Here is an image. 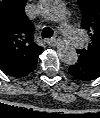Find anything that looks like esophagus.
<instances>
[{
    "mask_svg": "<svg viewBox=\"0 0 100 118\" xmlns=\"http://www.w3.org/2000/svg\"><path fill=\"white\" fill-rule=\"evenodd\" d=\"M60 41V37L58 35H54L51 39L46 40V43L50 46H56Z\"/></svg>",
    "mask_w": 100,
    "mask_h": 118,
    "instance_id": "34e87169",
    "label": "esophagus"
}]
</instances>
